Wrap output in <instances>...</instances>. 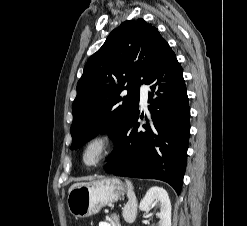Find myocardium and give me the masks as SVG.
Returning <instances> with one entry per match:
<instances>
[{"instance_id": "myocardium-1", "label": "myocardium", "mask_w": 247, "mask_h": 226, "mask_svg": "<svg viewBox=\"0 0 247 226\" xmlns=\"http://www.w3.org/2000/svg\"><path fill=\"white\" fill-rule=\"evenodd\" d=\"M113 137L104 132L95 133L89 136L84 142L81 149V161L87 167H96L103 163L112 153L114 148ZM95 148L97 154L92 160L87 159V153L90 149Z\"/></svg>"}]
</instances>
